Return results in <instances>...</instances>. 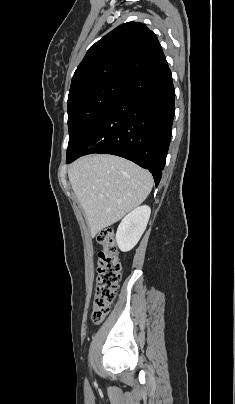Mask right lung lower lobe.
<instances>
[{"label": "right lung lower lobe", "mask_w": 235, "mask_h": 404, "mask_svg": "<svg viewBox=\"0 0 235 404\" xmlns=\"http://www.w3.org/2000/svg\"><path fill=\"white\" fill-rule=\"evenodd\" d=\"M174 98L167 61L129 80L120 100L92 126L66 162L90 153L121 156L148 169L157 186L171 139Z\"/></svg>", "instance_id": "1"}]
</instances>
